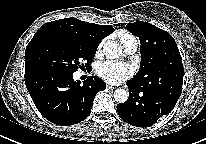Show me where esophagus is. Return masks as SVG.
I'll return each mask as SVG.
<instances>
[{
    "mask_svg": "<svg viewBox=\"0 0 206 144\" xmlns=\"http://www.w3.org/2000/svg\"><path fill=\"white\" fill-rule=\"evenodd\" d=\"M107 88H108L109 90H114V89H116V87H114V86H112V85H107Z\"/></svg>",
    "mask_w": 206,
    "mask_h": 144,
    "instance_id": "34e87169",
    "label": "esophagus"
}]
</instances>
